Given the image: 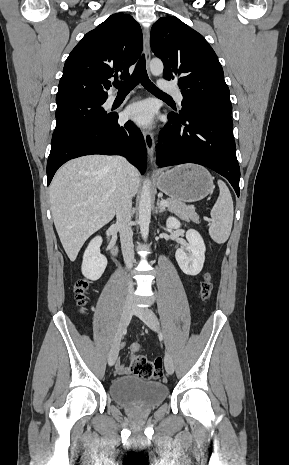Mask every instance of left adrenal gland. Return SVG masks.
<instances>
[{
    "instance_id": "obj_1",
    "label": "left adrenal gland",
    "mask_w": 289,
    "mask_h": 465,
    "mask_svg": "<svg viewBox=\"0 0 289 465\" xmlns=\"http://www.w3.org/2000/svg\"><path fill=\"white\" fill-rule=\"evenodd\" d=\"M157 208H158V212L159 213H163L166 211V208L163 207L160 203H159V200H158V203H157Z\"/></svg>"
}]
</instances>
